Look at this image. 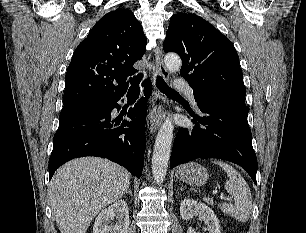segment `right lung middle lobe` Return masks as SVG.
I'll return each instance as SVG.
<instances>
[{
	"instance_id": "dd1d6c3e",
	"label": "right lung middle lobe",
	"mask_w": 306,
	"mask_h": 233,
	"mask_svg": "<svg viewBox=\"0 0 306 233\" xmlns=\"http://www.w3.org/2000/svg\"><path fill=\"white\" fill-rule=\"evenodd\" d=\"M106 105H109V104L85 102V103H78V104L64 106L63 109L61 110L59 118L62 119V118L86 111V110L99 108V107H103Z\"/></svg>"
}]
</instances>
